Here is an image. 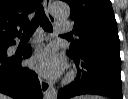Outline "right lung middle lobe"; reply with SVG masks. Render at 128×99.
Instances as JSON below:
<instances>
[{
    "mask_svg": "<svg viewBox=\"0 0 128 99\" xmlns=\"http://www.w3.org/2000/svg\"><path fill=\"white\" fill-rule=\"evenodd\" d=\"M0 48H3V45H2V43H0Z\"/></svg>",
    "mask_w": 128,
    "mask_h": 99,
    "instance_id": "dd1d6c3e",
    "label": "right lung middle lobe"
}]
</instances>
